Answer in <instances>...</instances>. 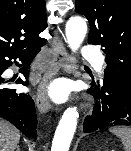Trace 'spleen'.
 Segmentation results:
<instances>
[{
    "instance_id": "spleen-1",
    "label": "spleen",
    "mask_w": 131,
    "mask_h": 151,
    "mask_svg": "<svg viewBox=\"0 0 131 151\" xmlns=\"http://www.w3.org/2000/svg\"><path fill=\"white\" fill-rule=\"evenodd\" d=\"M109 131L121 140L125 151H131V128L112 127Z\"/></svg>"
}]
</instances>
